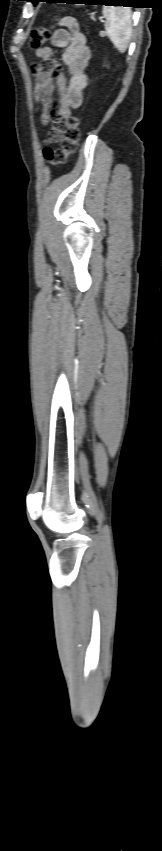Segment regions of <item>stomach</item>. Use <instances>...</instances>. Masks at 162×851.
<instances>
[{"mask_svg":"<svg viewBox=\"0 0 162 851\" xmlns=\"http://www.w3.org/2000/svg\"><path fill=\"white\" fill-rule=\"evenodd\" d=\"M72 2H83V1H72Z\"/></svg>","mask_w":162,"mask_h":851,"instance_id":"stomach-1","label":"stomach"}]
</instances>
